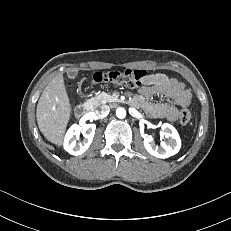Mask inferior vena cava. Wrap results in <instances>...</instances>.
<instances>
[{
  "mask_svg": "<svg viewBox=\"0 0 231 231\" xmlns=\"http://www.w3.org/2000/svg\"><path fill=\"white\" fill-rule=\"evenodd\" d=\"M97 114L99 115V117L104 118L106 117L109 112H110V108L108 105H101L98 109H97Z\"/></svg>",
  "mask_w": 231,
  "mask_h": 231,
  "instance_id": "obj_1",
  "label": "inferior vena cava"
}]
</instances>
